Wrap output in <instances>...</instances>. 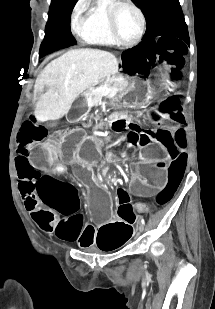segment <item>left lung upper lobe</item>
I'll use <instances>...</instances> for the list:
<instances>
[{"label": "left lung upper lobe", "instance_id": "obj_1", "mask_svg": "<svg viewBox=\"0 0 215 309\" xmlns=\"http://www.w3.org/2000/svg\"><path fill=\"white\" fill-rule=\"evenodd\" d=\"M134 1L141 7L147 22L143 39L168 37L190 42L179 0Z\"/></svg>", "mask_w": 215, "mask_h": 309}]
</instances>
